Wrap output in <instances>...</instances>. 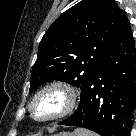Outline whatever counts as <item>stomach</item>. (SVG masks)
<instances>
[{
	"instance_id": "obj_1",
	"label": "stomach",
	"mask_w": 136,
	"mask_h": 136,
	"mask_svg": "<svg viewBox=\"0 0 136 136\" xmlns=\"http://www.w3.org/2000/svg\"><path fill=\"white\" fill-rule=\"evenodd\" d=\"M55 136H73V135L70 134V133H67V132H63V133H59V134H57Z\"/></svg>"
}]
</instances>
